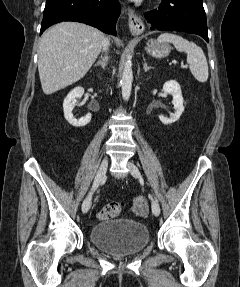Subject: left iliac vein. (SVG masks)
Returning a JSON list of instances; mask_svg holds the SVG:
<instances>
[{
	"label": "left iliac vein",
	"mask_w": 240,
	"mask_h": 287,
	"mask_svg": "<svg viewBox=\"0 0 240 287\" xmlns=\"http://www.w3.org/2000/svg\"><path fill=\"white\" fill-rule=\"evenodd\" d=\"M127 167L132 176H134L135 178L141 179L140 171L133 162L129 161L127 163ZM152 212L155 216L160 215V206L154 198L152 199Z\"/></svg>",
	"instance_id": "1"
}]
</instances>
